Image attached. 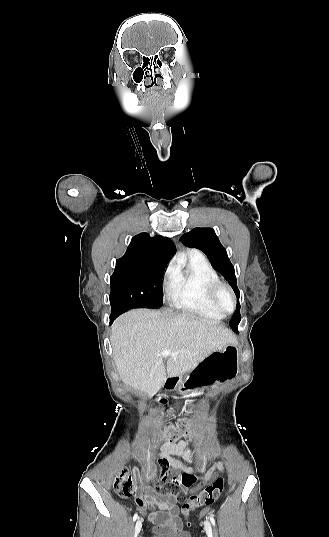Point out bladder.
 <instances>
[{"label":"bladder","mask_w":329,"mask_h":537,"mask_svg":"<svg viewBox=\"0 0 329 537\" xmlns=\"http://www.w3.org/2000/svg\"><path fill=\"white\" fill-rule=\"evenodd\" d=\"M152 537H193L188 531L160 530L155 531Z\"/></svg>","instance_id":"bladder-1"}]
</instances>
